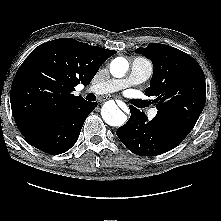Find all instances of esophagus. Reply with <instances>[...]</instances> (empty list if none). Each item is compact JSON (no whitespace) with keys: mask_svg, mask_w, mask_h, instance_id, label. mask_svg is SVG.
<instances>
[{"mask_svg":"<svg viewBox=\"0 0 221 221\" xmlns=\"http://www.w3.org/2000/svg\"><path fill=\"white\" fill-rule=\"evenodd\" d=\"M106 100H108V97H103V98H102V101H106ZM120 105L125 106V104H124L123 102H120Z\"/></svg>","mask_w":221,"mask_h":221,"instance_id":"obj_1","label":"esophagus"}]
</instances>
